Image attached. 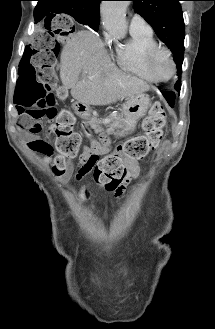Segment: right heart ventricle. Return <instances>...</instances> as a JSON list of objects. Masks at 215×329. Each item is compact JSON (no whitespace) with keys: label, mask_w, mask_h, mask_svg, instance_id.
Listing matches in <instances>:
<instances>
[{"label":"right heart ventricle","mask_w":215,"mask_h":329,"mask_svg":"<svg viewBox=\"0 0 215 329\" xmlns=\"http://www.w3.org/2000/svg\"><path fill=\"white\" fill-rule=\"evenodd\" d=\"M131 39L118 46L115 59L118 66L127 73L133 74L147 82H157L146 66V57L150 50L158 46L153 33L130 32Z\"/></svg>","instance_id":"obj_1"}]
</instances>
